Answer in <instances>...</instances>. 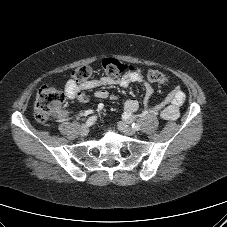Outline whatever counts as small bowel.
<instances>
[{
	"label": "small bowel",
	"instance_id": "c3829d8e",
	"mask_svg": "<svg viewBox=\"0 0 227 227\" xmlns=\"http://www.w3.org/2000/svg\"><path fill=\"white\" fill-rule=\"evenodd\" d=\"M134 83L144 85V103L149 110L160 113L165 120H176L179 117V108L185 101L184 92L180 88H175L164 99L154 102L152 85L137 71L127 72L119 79L106 76L98 79H89L83 83H76L74 80H70L65 84L64 89L69 99L85 104L88 101V95L85 91L94 90V95L98 99L118 100V97L111 95L105 87L118 84L125 88ZM122 107L124 117L132 119L139 109V102L136 99H127L122 101Z\"/></svg>",
	"mask_w": 227,
	"mask_h": 227
}]
</instances>
